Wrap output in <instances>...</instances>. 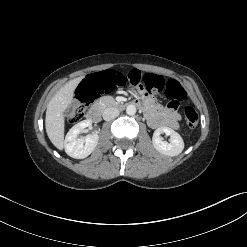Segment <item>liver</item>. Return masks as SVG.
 Instances as JSON below:
<instances>
[{
  "instance_id": "1",
  "label": "liver",
  "mask_w": 247,
  "mask_h": 247,
  "mask_svg": "<svg viewBox=\"0 0 247 247\" xmlns=\"http://www.w3.org/2000/svg\"><path fill=\"white\" fill-rule=\"evenodd\" d=\"M81 81L75 78L67 82L50 100L45 118V128L52 144L59 150L64 147V112L71 104L74 90Z\"/></svg>"
}]
</instances>
